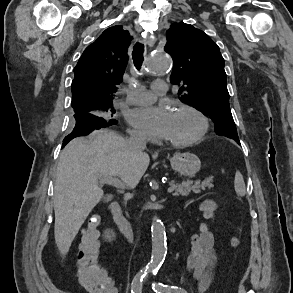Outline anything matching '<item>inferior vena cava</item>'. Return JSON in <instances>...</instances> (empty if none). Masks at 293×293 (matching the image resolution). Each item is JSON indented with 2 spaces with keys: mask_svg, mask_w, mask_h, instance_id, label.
I'll return each mask as SVG.
<instances>
[{
  "mask_svg": "<svg viewBox=\"0 0 293 293\" xmlns=\"http://www.w3.org/2000/svg\"><path fill=\"white\" fill-rule=\"evenodd\" d=\"M129 147L137 153H141L146 148V137L141 133L134 132L131 134V137L128 139ZM137 183L131 182L128 183L130 188H134Z\"/></svg>",
  "mask_w": 293,
  "mask_h": 293,
  "instance_id": "602c4592",
  "label": "inferior vena cava"
}]
</instances>
